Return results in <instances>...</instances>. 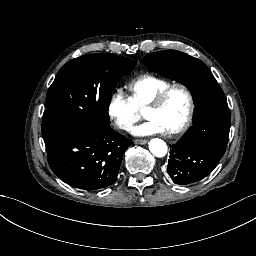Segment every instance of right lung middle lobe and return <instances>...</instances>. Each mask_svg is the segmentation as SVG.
I'll use <instances>...</instances> for the list:
<instances>
[{"instance_id":"dd1d6c3e","label":"right lung middle lobe","mask_w":256,"mask_h":256,"mask_svg":"<svg viewBox=\"0 0 256 256\" xmlns=\"http://www.w3.org/2000/svg\"><path fill=\"white\" fill-rule=\"evenodd\" d=\"M135 65L133 60L109 53L84 55L66 63L47 92L43 138L108 127L111 91Z\"/></svg>"}]
</instances>
